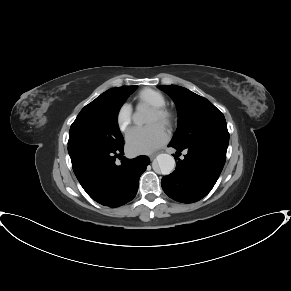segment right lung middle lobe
Instances as JSON below:
<instances>
[{
    "instance_id": "obj_1",
    "label": "right lung middle lobe",
    "mask_w": 291,
    "mask_h": 291,
    "mask_svg": "<svg viewBox=\"0 0 291 291\" xmlns=\"http://www.w3.org/2000/svg\"><path fill=\"white\" fill-rule=\"evenodd\" d=\"M137 86L111 88L86 105L70 127L68 146L77 144L116 148L124 144L117 115Z\"/></svg>"
}]
</instances>
